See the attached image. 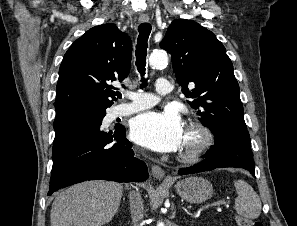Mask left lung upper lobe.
<instances>
[{"label":"left lung upper lobe","mask_w":297,"mask_h":226,"mask_svg":"<svg viewBox=\"0 0 297 226\" xmlns=\"http://www.w3.org/2000/svg\"><path fill=\"white\" fill-rule=\"evenodd\" d=\"M160 47L172 55L173 70L182 92L199 120L212 133L248 132L239 85L226 49L216 36L198 23L172 21Z\"/></svg>","instance_id":"left-lung-upper-lobe-1"}]
</instances>
